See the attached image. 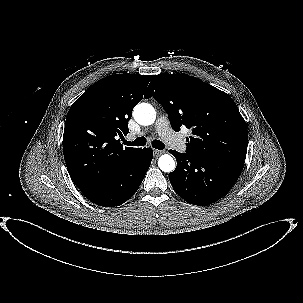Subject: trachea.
<instances>
[{"mask_svg": "<svg viewBox=\"0 0 303 303\" xmlns=\"http://www.w3.org/2000/svg\"><path fill=\"white\" fill-rule=\"evenodd\" d=\"M146 138L145 137H138L133 142L126 141L125 144L129 146H144L146 144ZM152 146L156 149L162 150L165 148L164 143H162L160 140H153Z\"/></svg>", "mask_w": 303, "mask_h": 303, "instance_id": "1", "label": "trachea"}]
</instances>
